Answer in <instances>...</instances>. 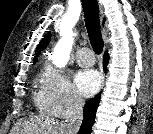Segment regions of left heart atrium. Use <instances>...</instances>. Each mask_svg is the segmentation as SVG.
<instances>
[{
  "instance_id": "39dd6f15",
  "label": "left heart atrium",
  "mask_w": 153,
  "mask_h": 134,
  "mask_svg": "<svg viewBox=\"0 0 153 134\" xmlns=\"http://www.w3.org/2000/svg\"><path fill=\"white\" fill-rule=\"evenodd\" d=\"M78 91L86 97L92 96L100 86V76L95 70H82L75 76Z\"/></svg>"
}]
</instances>
